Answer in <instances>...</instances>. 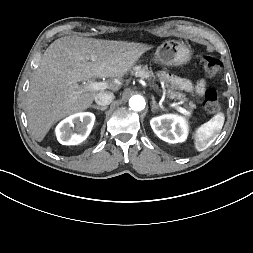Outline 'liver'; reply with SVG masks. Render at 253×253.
<instances>
[{"label":"liver","mask_w":253,"mask_h":253,"mask_svg":"<svg viewBox=\"0 0 253 253\" xmlns=\"http://www.w3.org/2000/svg\"><path fill=\"white\" fill-rule=\"evenodd\" d=\"M149 49L141 43L79 36L55 40L45 50L27 93L25 110L34 138L42 141L54 123L91 106L97 92L83 91L78 82L116 78L108 87L116 92L122 86L119 79Z\"/></svg>","instance_id":"obj_1"}]
</instances>
